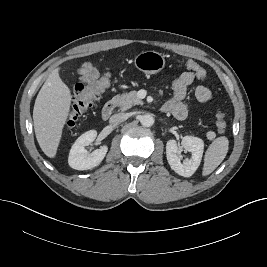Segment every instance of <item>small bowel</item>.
<instances>
[{
    "label": "small bowel",
    "mask_w": 267,
    "mask_h": 267,
    "mask_svg": "<svg viewBox=\"0 0 267 267\" xmlns=\"http://www.w3.org/2000/svg\"><path fill=\"white\" fill-rule=\"evenodd\" d=\"M79 80L81 82L91 83L100 76L98 69L90 62L84 63L78 70ZM197 76L192 71L182 73L172 84L173 96L163 105L165 112L171 113L177 119H184L188 114V106L185 102L187 88ZM194 97L198 102L204 103L211 99L212 92L205 85H199L195 88Z\"/></svg>",
    "instance_id": "1"
}]
</instances>
